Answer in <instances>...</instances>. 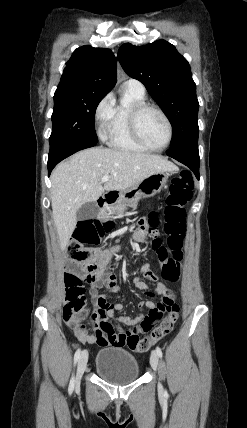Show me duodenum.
<instances>
[{
  "label": "duodenum",
  "mask_w": 247,
  "mask_h": 428,
  "mask_svg": "<svg viewBox=\"0 0 247 428\" xmlns=\"http://www.w3.org/2000/svg\"><path fill=\"white\" fill-rule=\"evenodd\" d=\"M116 198V193H106L97 200V203L100 207L103 208L114 202Z\"/></svg>",
  "instance_id": "obj_1"
}]
</instances>
